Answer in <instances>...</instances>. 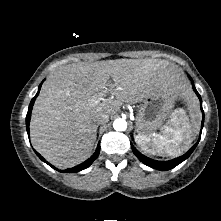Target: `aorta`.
Segmentation results:
<instances>
[{"label": "aorta", "mask_w": 221, "mask_h": 221, "mask_svg": "<svg viewBox=\"0 0 221 221\" xmlns=\"http://www.w3.org/2000/svg\"><path fill=\"white\" fill-rule=\"evenodd\" d=\"M113 128L116 131H125L127 129V122L122 118H118L113 122Z\"/></svg>", "instance_id": "762f6f07"}]
</instances>
